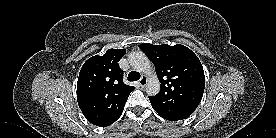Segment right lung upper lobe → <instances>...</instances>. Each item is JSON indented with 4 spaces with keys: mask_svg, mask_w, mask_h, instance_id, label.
I'll return each mask as SVG.
<instances>
[{
    "mask_svg": "<svg viewBox=\"0 0 276 138\" xmlns=\"http://www.w3.org/2000/svg\"><path fill=\"white\" fill-rule=\"evenodd\" d=\"M125 49H109L103 56H93L82 66L77 82V101L86 119L97 126H109L122 114L131 91L123 83L118 62Z\"/></svg>",
    "mask_w": 276,
    "mask_h": 138,
    "instance_id": "1",
    "label": "right lung upper lobe"
}]
</instances>
